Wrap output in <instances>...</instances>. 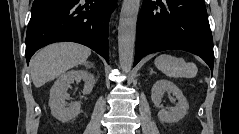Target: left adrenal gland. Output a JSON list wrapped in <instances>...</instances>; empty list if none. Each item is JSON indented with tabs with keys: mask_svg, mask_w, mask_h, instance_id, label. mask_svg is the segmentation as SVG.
<instances>
[{
	"mask_svg": "<svg viewBox=\"0 0 239 134\" xmlns=\"http://www.w3.org/2000/svg\"><path fill=\"white\" fill-rule=\"evenodd\" d=\"M153 73H155V72H154L153 69L151 68V69H150V75H152Z\"/></svg>",
	"mask_w": 239,
	"mask_h": 134,
	"instance_id": "a2214340",
	"label": "left adrenal gland"
}]
</instances>
